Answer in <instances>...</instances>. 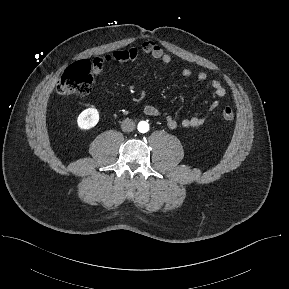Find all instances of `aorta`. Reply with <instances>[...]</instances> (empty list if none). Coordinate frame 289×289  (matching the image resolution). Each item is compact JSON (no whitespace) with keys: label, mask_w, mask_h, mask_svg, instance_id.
Listing matches in <instances>:
<instances>
[{"label":"aorta","mask_w":289,"mask_h":289,"mask_svg":"<svg viewBox=\"0 0 289 289\" xmlns=\"http://www.w3.org/2000/svg\"><path fill=\"white\" fill-rule=\"evenodd\" d=\"M138 130L141 133H146L149 130V124L146 121L139 122Z\"/></svg>","instance_id":"762f6f07"}]
</instances>
